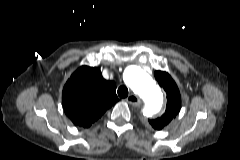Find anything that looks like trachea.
I'll return each instance as SVG.
<instances>
[{
  "label": "trachea",
  "mask_w": 240,
  "mask_h": 160,
  "mask_svg": "<svg viewBox=\"0 0 240 160\" xmlns=\"http://www.w3.org/2000/svg\"><path fill=\"white\" fill-rule=\"evenodd\" d=\"M120 98H126L128 96V89L126 86H120L117 91Z\"/></svg>",
  "instance_id": "1"
}]
</instances>
